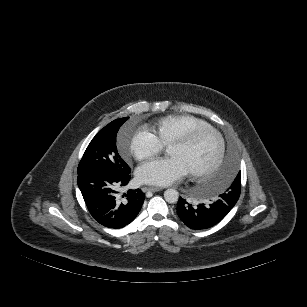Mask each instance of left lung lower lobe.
Wrapping results in <instances>:
<instances>
[{
  "label": "left lung lower lobe",
  "instance_id": "0a47b994",
  "mask_svg": "<svg viewBox=\"0 0 307 307\" xmlns=\"http://www.w3.org/2000/svg\"><path fill=\"white\" fill-rule=\"evenodd\" d=\"M236 202L226 196L219 195L218 200L211 204L201 203L193 206L180 197L177 205V214L189 228L202 230L219 223L235 206Z\"/></svg>",
  "mask_w": 307,
  "mask_h": 307
}]
</instances>
